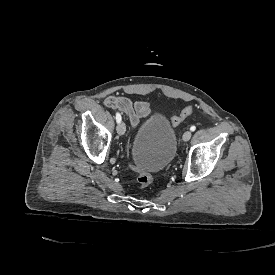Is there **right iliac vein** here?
<instances>
[{"label":"right iliac vein","mask_w":275,"mask_h":275,"mask_svg":"<svg viewBox=\"0 0 275 275\" xmlns=\"http://www.w3.org/2000/svg\"><path fill=\"white\" fill-rule=\"evenodd\" d=\"M126 127L124 122H120L117 126V133L119 136H123L125 134Z\"/></svg>","instance_id":"obj_1"}]
</instances>
